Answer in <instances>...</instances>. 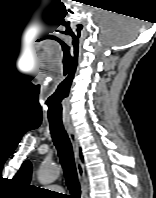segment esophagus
Segmentation results:
<instances>
[{"label":"esophagus","mask_w":156,"mask_h":198,"mask_svg":"<svg viewBox=\"0 0 156 198\" xmlns=\"http://www.w3.org/2000/svg\"><path fill=\"white\" fill-rule=\"evenodd\" d=\"M64 127L65 130L67 131V134L69 136L74 151L78 179L81 185V198H87L85 168L80 158L79 142L73 126L70 123H64Z\"/></svg>","instance_id":"1"}]
</instances>
